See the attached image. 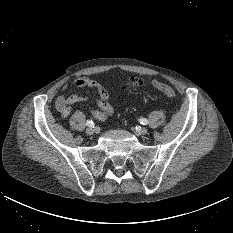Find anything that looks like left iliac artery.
Here are the masks:
<instances>
[{
  "mask_svg": "<svg viewBox=\"0 0 233 233\" xmlns=\"http://www.w3.org/2000/svg\"><path fill=\"white\" fill-rule=\"evenodd\" d=\"M140 123L143 125H147L148 124V120L145 118L140 119Z\"/></svg>",
  "mask_w": 233,
  "mask_h": 233,
  "instance_id": "obj_1",
  "label": "left iliac artery"
}]
</instances>
